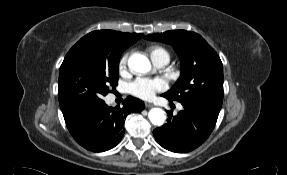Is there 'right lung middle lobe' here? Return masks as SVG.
<instances>
[{
	"instance_id": "right-lung-middle-lobe-1",
	"label": "right lung middle lobe",
	"mask_w": 287,
	"mask_h": 175,
	"mask_svg": "<svg viewBox=\"0 0 287 175\" xmlns=\"http://www.w3.org/2000/svg\"><path fill=\"white\" fill-rule=\"evenodd\" d=\"M123 50H98L91 39L81 38L67 53L59 70L61 110L96 103L118 85L119 59Z\"/></svg>"
}]
</instances>
